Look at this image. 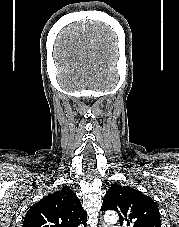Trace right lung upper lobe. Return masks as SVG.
<instances>
[{"mask_svg": "<svg viewBox=\"0 0 179 227\" xmlns=\"http://www.w3.org/2000/svg\"><path fill=\"white\" fill-rule=\"evenodd\" d=\"M87 212L67 186L49 194L27 212L23 227H78L86 225Z\"/></svg>", "mask_w": 179, "mask_h": 227, "instance_id": "right-lung-upper-lobe-1", "label": "right lung upper lobe"}]
</instances>
